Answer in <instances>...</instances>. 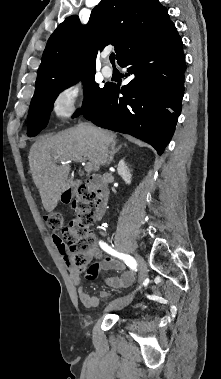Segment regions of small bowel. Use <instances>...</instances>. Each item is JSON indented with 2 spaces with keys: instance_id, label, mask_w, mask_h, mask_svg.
Listing matches in <instances>:
<instances>
[{
  "instance_id": "obj_1",
  "label": "small bowel",
  "mask_w": 221,
  "mask_h": 379,
  "mask_svg": "<svg viewBox=\"0 0 221 379\" xmlns=\"http://www.w3.org/2000/svg\"><path fill=\"white\" fill-rule=\"evenodd\" d=\"M53 241L58 249V251L64 256V259L67 263L71 280L73 284L78 289V297L82 304L87 308H96L100 305V298L105 299L110 296V293L106 290L100 292L99 297L91 295L83 289L82 279L79 271L73 266L71 259L66 253V248H64L54 236ZM100 269L108 270H124L125 265L118 260H115L111 257H105L102 261L95 264H88V269H85L83 272V279H86L87 282H94L95 278L100 272ZM134 281L133 275L125 271L120 276L110 277L107 279V284L112 288L118 289L131 285Z\"/></svg>"
}]
</instances>
